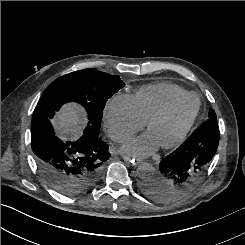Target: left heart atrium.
<instances>
[{
    "label": "left heart atrium",
    "instance_id": "left-heart-atrium-1",
    "mask_svg": "<svg viewBox=\"0 0 245 245\" xmlns=\"http://www.w3.org/2000/svg\"><path fill=\"white\" fill-rule=\"evenodd\" d=\"M159 144L150 132L139 137L130 139L123 147L122 151L135 157H146L152 154Z\"/></svg>",
    "mask_w": 245,
    "mask_h": 245
}]
</instances>
